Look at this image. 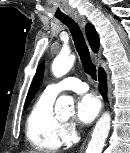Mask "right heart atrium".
<instances>
[{"label": "right heart atrium", "instance_id": "1", "mask_svg": "<svg viewBox=\"0 0 130 153\" xmlns=\"http://www.w3.org/2000/svg\"><path fill=\"white\" fill-rule=\"evenodd\" d=\"M76 131H77V128L74 123L72 122L64 123L62 127V140L64 142L71 141L74 138Z\"/></svg>", "mask_w": 130, "mask_h": 153}]
</instances>
